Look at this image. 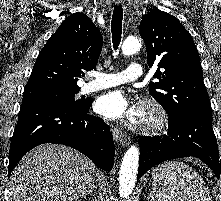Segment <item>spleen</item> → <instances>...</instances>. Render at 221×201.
I'll return each instance as SVG.
<instances>
[{
  "mask_svg": "<svg viewBox=\"0 0 221 201\" xmlns=\"http://www.w3.org/2000/svg\"><path fill=\"white\" fill-rule=\"evenodd\" d=\"M152 194L158 201H211L203 178L177 160L164 162L153 170Z\"/></svg>",
  "mask_w": 221,
  "mask_h": 201,
  "instance_id": "3e777b00",
  "label": "spleen"
}]
</instances>
